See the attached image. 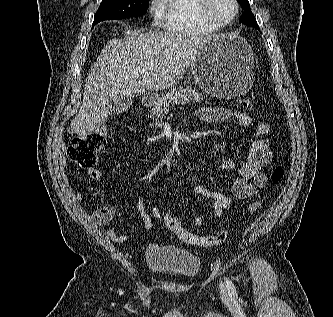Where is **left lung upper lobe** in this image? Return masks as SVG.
<instances>
[{
    "label": "left lung upper lobe",
    "instance_id": "1",
    "mask_svg": "<svg viewBox=\"0 0 333 317\" xmlns=\"http://www.w3.org/2000/svg\"><path fill=\"white\" fill-rule=\"evenodd\" d=\"M237 1L241 4L242 8L244 9V14L240 18L241 22L246 25H251L259 30V26L257 24V21L253 13L251 12L248 0H237Z\"/></svg>",
    "mask_w": 333,
    "mask_h": 317
}]
</instances>
